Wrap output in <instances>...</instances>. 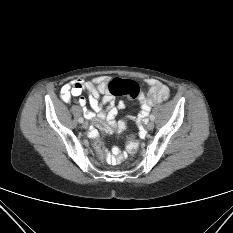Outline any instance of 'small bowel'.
Instances as JSON below:
<instances>
[{"instance_id": "small-bowel-1", "label": "small bowel", "mask_w": 233, "mask_h": 233, "mask_svg": "<svg viewBox=\"0 0 233 233\" xmlns=\"http://www.w3.org/2000/svg\"><path fill=\"white\" fill-rule=\"evenodd\" d=\"M108 77L100 76L90 81L83 79H75L65 84L60 91L63 101H75L79 106L83 107L84 115L91 120L102 122L108 129L124 128L123 121H116L117 114L124 109V103H115V97L108 90ZM149 90L147 93L141 92L138 96L140 102V112L136 118L137 123H141L147 117L151 107L157 103L166 101L170 96V90L167 85L156 79H147ZM88 92V100L92 110L86 108V99L79 97L82 92ZM100 95L102 98L100 99ZM124 152L115 147L111 154L107 155V159L112 163L121 161Z\"/></svg>"}]
</instances>
